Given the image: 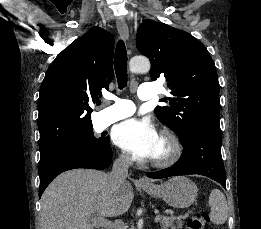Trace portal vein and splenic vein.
I'll use <instances>...</instances> for the list:
<instances>
[{
  "instance_id": "obj_1",
  "label": "portal vein and splenic vein",
  "mask_w": 261,
  "mask_h": 229,
  "mask_svg": "<svg viewBox=\"0 0 261 229\" xmlns=\"http://www.w3.org/2000/svg\"><path fill=\"white\" fill-rule=\"evenodd\" d=\"M158 217H162V215H158ZM178 219H181V217H178ZM154 224L160 223V218H154L153 219ZM99 227H104V229H115V225H112L111 221H107V219H99L97 221Z\"/></svg>"
}]
</instances>
